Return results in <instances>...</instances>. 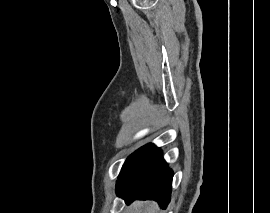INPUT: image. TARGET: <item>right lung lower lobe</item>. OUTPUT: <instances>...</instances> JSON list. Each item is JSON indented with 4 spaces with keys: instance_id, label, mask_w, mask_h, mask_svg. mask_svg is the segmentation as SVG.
<instances>
[{
    "instance_id": "98d812e1",
    "label": "right lung lower lobe",
    "mask_w": 270,
    "mask_h": 213,
    "mask_svg": "<svg viewBox=\"0 0 270 213\" xmlns=\"http://www.w3.org/2000/svg\"><path fill=\"white\" fill-rule=\"evenodd\" d=\"M173 171L168 168L162 152L147 144L125 161L116 184L117 195L127 204L136 199L155 200L162 207L170 201Z\"/></svg>"
}]
</instances>
